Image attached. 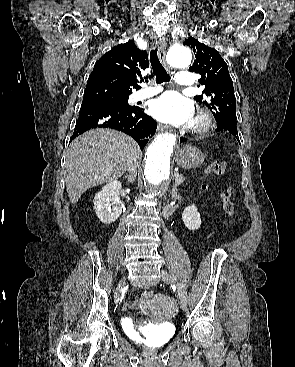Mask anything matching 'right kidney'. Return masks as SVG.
Segmentation results:
<instances>
[{
  "mask_svg": "<svg viewBox=\"0 0 295 367\" xmlns=\"http://www.w3.org/2000/svg\"><path fill=\"white\" fill-rule=\"evenodd\" d=\"M121 182L113 181L105 185L93 200L97 217L104 224L116 221L122 213L120 201Z\"/></svg>",
  "mask_w": 295,
  "mask_h": 367,
  "instance_id": "ca27d5eb",
  "label": "right kidney"
}]
</instances>
